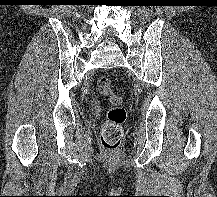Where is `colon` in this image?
Segmentation results:
<instances>
[{
	"mask_svg": "<svg viewBox=\"0 0 217 197\" xmlns=\"http://www.w3.org/2000/svg\"><path fill=\"white\" fill-rule=\"evenodd\" d=\"M110 84L109 77L101 76L96 81V90L99 94L107 97L112 106L101 130V143L105 150L114 152L120 147L122 124L126 120L127 113L122 106L121 97L112 92Z\"/></svg>",
	"mask_w": 217,
	"mask_h": 197,
	"instance_id": "5ec220e1",
	"label": "colon"
}]
</instances>
